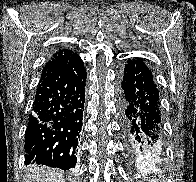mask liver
Returning a JSON list of instances; mask_svg holds the SVG:
<instances>
[{
  "mask_svg": "<svg viewBox=\"0 0 196 182\" xmlns=\"http://www.w3.org/2000/svg\"><path fill=\"white\" fill-rule=\"evenodd\" d=\"M24 182H64V178L57 169L32 166L28 169Z\"/></svg>",
  "mask_w": 196,
  "mask_h": 182,
  "instance_id": "6515ba94",
  "label": "liver"
}]
</instances>
